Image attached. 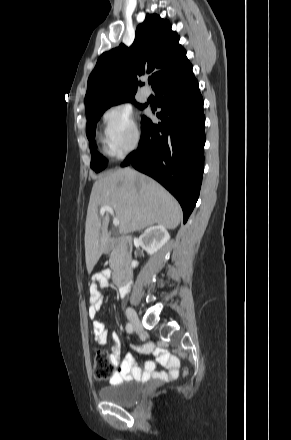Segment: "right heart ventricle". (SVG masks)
Masks as SVG:
<instances>
[{
    "mask_svg": "<svg viewBox=\"0 0 291 440\" xmlns=\"http://www.w3.org/2000/svg\"><path fill=\"white\" fill-rule=\"evenodd\" d=\"M103 152H104V153H109V150L107 149L106 146L103 147Z\"/></svg>",
    "mask_w": 291,
    "mask_h": 440,
    "instance_id": "obj_1",
    "label": "right heart ventricle"
}]
</instances>
